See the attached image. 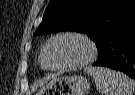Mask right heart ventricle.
<instances>
[{
    "label": "right heart ventricle",
    "instance_id": "right-heart-ventricle-1",
    "mask_svg": "<svg viewBox=\"0 0 135 95\" xmlns=\"http://www.w3.org/2000/svg\"><path fill=\"white\" fill-rule=\"evenodd\" d=\"M47 43L48 42H46L44 44V46L41 48V51H40V54H39V63H40V66H41L42 69H47L46 66H45V63H44V52H45Z\"/></svg>",
    "mask_w": 135,
    "mask_h": 95
}]
</instances>
